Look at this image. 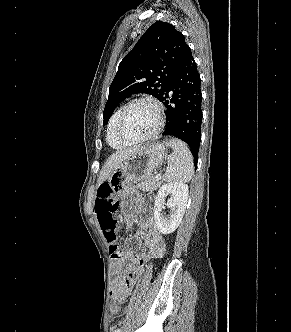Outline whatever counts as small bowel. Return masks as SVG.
I'll return each instance as SVG.
<instances>
[{
    "label": "small bowel",
    "mask_w": 291,
    "mask_h": 332,
    "mask_svg": "<svg viewBox=\"0 0 291 332\" xmlns=\"http://www.w3.org/2000/svg\"><path fill=\"white\" fill-rule=\"evenodd\" d=\"M104 188H110L109 184L103 183L99 186L96 200L99 192ZM95 200V212L96 211ZM132 223L127 220L126 227L130 228ZM135 239H142L145 252L141 254H135L132 249L126 247L119 251V257L115 259L113 264V271L115 273V279L112 284L111 295L116 301H124L133 286L136 283L138 275L146 263L151 259L160 258L165 251V242L161 233L156 229L151 219H143L141 221L140 228L135 234ZM131 261V265L128 267L125 275L120 276V270L124 261Z\"/></svg>",
    "instance_id": "obj_1"
}]
</instances>
